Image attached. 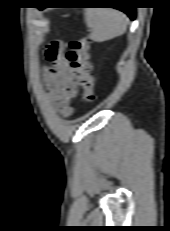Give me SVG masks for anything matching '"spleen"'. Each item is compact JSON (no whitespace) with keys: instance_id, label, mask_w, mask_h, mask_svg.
Returning <instances> with one entry per match:
<instances>
[{"instance_id":"1","label":"spleen","mask_w":170,"mask_h":231,"mask_svg":"<svg viewBox=\"0 0 170 231\" xmlns=\"http://www.w3.org/2000/svg\"><path fill=\"white\" fill-rule=\"evenodd\" d=\"M85 21L90 29V39L104 42L122 35L127 28L128 18L114 9H89Z\"/></svg>"}]
</instances>
